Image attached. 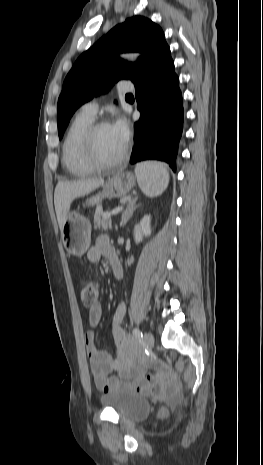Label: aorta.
<instances>
[{
	"label": "aorta",
	"instance_id": "762f6f07",
	"mask_svg": "<svg viewBox=\"0 0 263 465\" xmlns=\"http://www.w3.org/2000/svg\"><path fill=\"white\" fill-rule=\"evenodd\" d=\"M123 58L128 60V61L134 62V61H136L137 56L136 55H126Z\"/></svg>",
	"mask_w": 263,
	"mask_h": 465
}]
</instances>
